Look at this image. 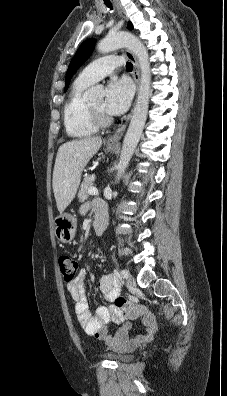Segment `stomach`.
I'll list each match as a JSON object with an SVG mask.
<instances>
[{
  "label": "stomach",
  "mask_w": 227,
  "mask_h": 396,
  "mask_svg": "<svg viewBox=\"0 0 227 396\" xmlns=\"http://www.w3.org/2000/svg\"><path fill=\"white\" fill-rule=\"evenodd\" d=\"M115 146H107V150L115 151ZM55 236L62 243H70L76 232V219L73 215L64 213L55 218Z\"/></svg>",
  "instance_id": "obj_1"
}]
</instances>
